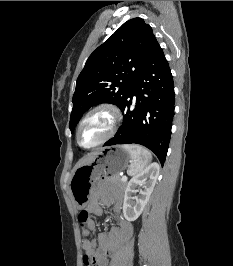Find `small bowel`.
<instances>
[{"label": "small bowel", "mask_w": 233, "mask_h": 266, "mask_svg": "<svg viewBox=\"0 0 233 266\" xmlns=\"http://www.w3.org/2000/svg\"><path fill=\"white\" fill-rule=\"evenodd\" d=\"M113 205L116 216V225L108 233L101 232L96 239H90V233L95 232V223L89 218L86 227L82 229L84 240L83 263L85 266H108L109 259L115 255L121 245L132 236V224L122 216V198L110 193H98L88 204L87 211L100 216L103 213L102 205ZM86 257L91 263H86Z\"/></svg>", "instance_id": "obj_1"}]
</instances>
